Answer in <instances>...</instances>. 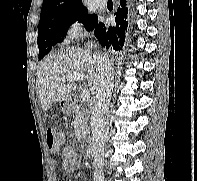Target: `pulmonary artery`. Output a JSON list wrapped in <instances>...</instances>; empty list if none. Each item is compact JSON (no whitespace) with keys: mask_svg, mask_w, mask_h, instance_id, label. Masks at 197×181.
<instances>
[{"mask_svg":"<svg viewBox=\"0 0 197 181\" xmlns=\"http://www.w3.org/2000/svg\"><path fill=\"white\" fill-rule=\"evenodd\" d=\"M94 4L97 8L103 9L106 6V0H95Z\"/></svg>","mask_w":197,"mask_h":181,"instance_id":"obj_1","label":"pulmonary artery"}]
</instances>
